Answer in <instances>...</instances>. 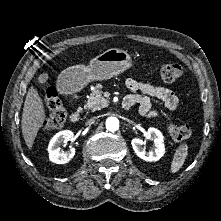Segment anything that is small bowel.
I'll use <instances>...</instances> for the list:
<instances>
[{"instance_id": "1", "label": "small bowel", "mask_w": 221, "mask_h": 221, "mask_svg": "<svg viewBox=\"0 0 221 221\" xmlns=\"http://www.w3.org/2000/svg\"><path fill=\"white\" fill-rule=\"evenodd\" d=\"M125 85L129 90L139 94L127 95L122 105H128L130 109L138 104L139 112L144 116L152 118L159 116V111L152 107L151 99L161 102L169 110H174L178 105V97L166 87L133 78L126 79Z\"/></svg>"}]
</instances>
